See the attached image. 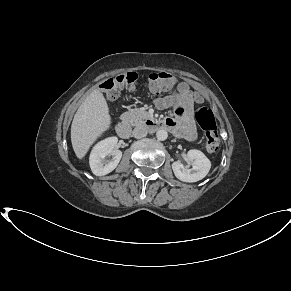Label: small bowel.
<instances>
[{"mask_svg":"<svg viewBox=\"0 0 291 291\" xmlns=\"http://www.w3.org/2000/svg\"><path fill=\"white\" fill-rule=\"evenodd\" d=\"M194 98L191 85L188 82H181L171 94L160 97L155 101L159 109H174L177 118L164 119L167 129L188 141H194L197 138L196 127L191 114Z\"/></svg>","mask_w":291,"mask_h":291,"instance_id":"c3829d8e","label":"small bowel"}]
</instances>
